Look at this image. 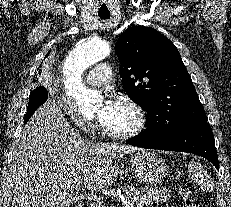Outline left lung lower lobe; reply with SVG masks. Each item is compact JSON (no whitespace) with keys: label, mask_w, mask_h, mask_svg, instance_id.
I'll list each match as a JSON object with an SVG mask.
<instances>
[{"label":"left lung lower lobe","mask_w":231,"mask_h":207,"mask_svg":"<svg viewBox=\"0 0 231 207\" xmlns=\"http://www.w3.org/2000/svg\"><path fill=\"white\" fill-rule=\"evenodd\" d=\"M126 142L143 148L197 154L212 162L219 170L214 136L208 123L192 125L164 139H153L139 134Z\"/></svg>","instance_id":"left-lung-lower-lobe-1"}]
</instances>
